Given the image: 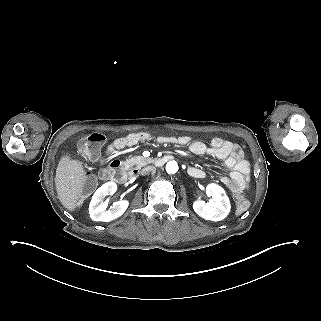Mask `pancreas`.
Here are the masks:
<instances>
[{"label":"pancreas","instance_id":"1","mask_svg":"<svg viewBox=\"0 0 321 321\" xmlns=\"http://www.w3.org/2000/svg\"><path fill=\"white\" fill-rule=\"evenodd\" d=\"M148 163H151L149 158L143 156H133L126 160L125 166L126 168L135 166V168L140 169Z\"/></svg>","mask_w":321,"mask_h":321}]
</instances>
